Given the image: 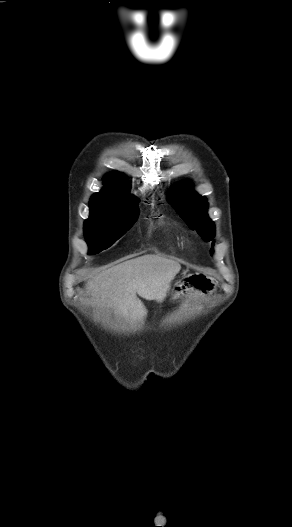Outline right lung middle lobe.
<instances>
[{"mask_svg": "<svg viewBox=\"0 0 292 527\" xmlns=\"http://www.w3.org/2000/svg\"><path fill=\"white\" fill-rule=\"evenodd\" d=\"M138 214L137 205L123 206L91 199L90 217L84 224L89 254H97L110 247L129 230Z\"/></svg>", "mask_w": 292, "mask_h": 527, "instance_id": "dd1d6c3e", "label": "right lung middle lobe"}]
</instances>
